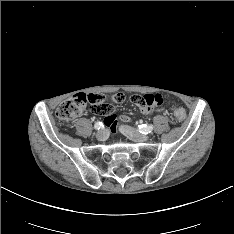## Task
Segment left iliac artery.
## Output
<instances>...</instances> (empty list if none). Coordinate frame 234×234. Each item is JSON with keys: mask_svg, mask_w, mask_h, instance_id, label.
I'll list each match as a JSON object with an SVG mask.
<instances>
[{"mask_svg": "<svg viewBox=\"0 0 234 234\" xmlns=\"http://www.w3.org/2000/svg\"><path fill=\"white\" fill-rule=\"evenodd\" d=\"M154 126L153 125H139L138 130L142 134H148L153 130Z\"/></svg>", "mask_w": 234, "mask_h": 234, "instance_id": "left-iliac-artery-1", "label": "left iliac artery"}]
</instances>
